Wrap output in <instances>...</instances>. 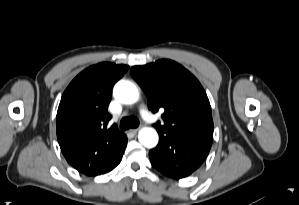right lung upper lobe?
I'll list each match as a JSON object with an SVG mask.
<instances>
[{
  "label": "right lung upper lobe",
  "mask_w": 299,
  "mask_h": 205,
  "mask_svg": "<svg viewBox=\"0 0 299 205\" xmlns=\"http://www.w3.org/2000/svg\"><path fill=\"white\" fill-rule=\"evenodd\" d=\"M128 68L107 62L93 65L74 78L61 98L58 142L67 162L87 176L112 160L126 139L115 126L107 128V107L113 85Z\"/></svg>",
  "instance_id": "cb5924a9"
}]
</instances>
